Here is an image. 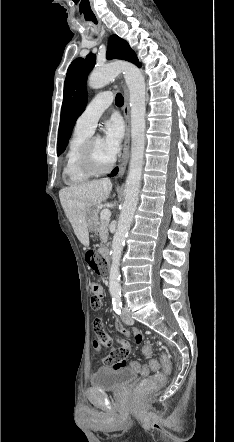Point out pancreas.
<instances>
[{"mask_svg":"<svg viewBox=\"0 0 234 442\" xmlns=\"http://www.w3.org/2000/svg\"><path fill=\"white\" fill-rule=\"evenodd\" d=\"M96 226H97V231L99 232L101 242L103 244H106L108 241V237H109L108 221L102 220V219H100V220L97 219Z\"/></svg>","mask_w":234,"mask_h":442,"instance_id":"1","label":"pancreas"}]
</instances>
